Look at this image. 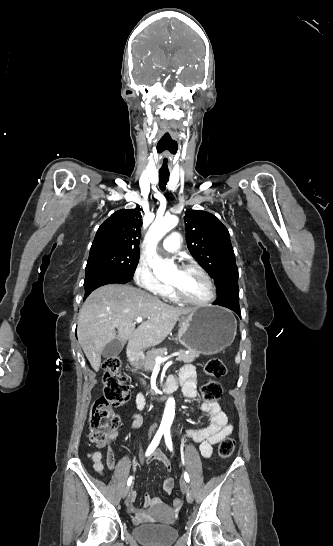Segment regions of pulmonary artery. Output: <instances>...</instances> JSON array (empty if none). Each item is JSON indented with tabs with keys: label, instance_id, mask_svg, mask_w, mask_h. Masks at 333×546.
<instances>
[{
	"label": "pulmonary artery",
	"instance_id": "obj_1",
	"mask_svg": "<svg viewBox=\"0 0 333 546\" xmlns=\"http://www.w3.org/2000/svg\"><path fill=\"white\" fill-rule=\"evenodd\" d=\"M181 245V235L178 232L169 234L162 243V247L167 252H176Z\"/></svg>",
	"mask_w": 333,
	"mask_h": 546
}]
</instances>
